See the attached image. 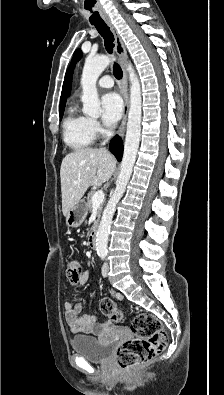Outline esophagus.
Here are the masks:
<instances>
[{"mask_svg": "<svg viewBox=\"0 0 224 395\" xmlns=\"http://www.w3.org/2000/svg\"><path fill=\"white\" fill-rule=\"evenodd\" d=\"M105 22L109 26L111 32L113 33L115 51L119 57L122 72H123V77H122L121 86H120V92H121L122 97L124 99V107H123L122 121H121L119 130H118V134L122 138L125 133L126 123H127V115H128V110H129L128 75H127V70H126V66H125V62L127 60V51H126L125 45L122 41V38L118 34V32H117L115 26L112 24L111 20L106 19Z\"/></svg>", "mask_w": 224, "mask_h": 395, "instance_id": "esophagus-1", "label": "esophagus"}]
</instances>
